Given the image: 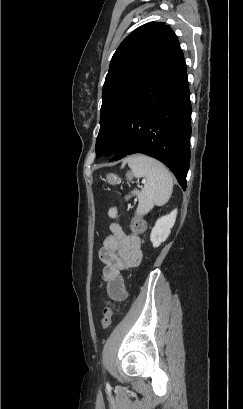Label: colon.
Masks as SVG:
<instances>
[{"label":"colon","mask_w":243,"mask_h":409,"mask_svg":"<svg viewBox=\"0 0 243 409\" xmlns=\"http://www.w3.org/2000/svg\"><path fill=\"white\" fill-rule=\"evenodd\" d=\"M144 227H145L144 221L139 218L138 222L136 223L137 231H142ZM112 317H113V312L111 308H106L104 310L103 317L101 320V326L103 329H108L111 326Z\"/></svg>","instance_id":"colon-1"}]
</instances>
